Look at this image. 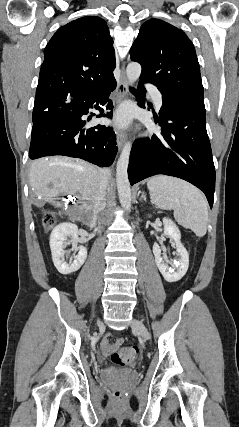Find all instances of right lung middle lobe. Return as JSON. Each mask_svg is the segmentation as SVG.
<instances>
[{"mask_svg":"<svg viewBox=\"0 0 239 427\" xmlns=\"http://www.w3.org/2000/svg\"><path fill=\"white\" fill-rule=\"evenodd\" d=\"M51 98L35 100L33 109V122L39 117V115L49 106Z\"/></svg>","mask_w":239,"mask_h":427,"instance_id":"dd1d6c3e","label":"right lung middle lobe"}]
</instances>
